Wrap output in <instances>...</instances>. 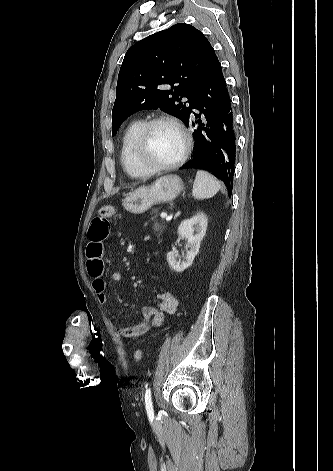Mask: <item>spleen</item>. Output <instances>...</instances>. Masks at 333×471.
<instances>
[{"label":"spleen","mask_w":333,"mask_h":471,"mask_svg":"<svg viewBox=\"0 0 333 471\" xmlns=\"http://www.w3.org/2000/svg\"><path fill=\"white\" fill-rule=\"evenodd\" d=\"M219 181L206 171L199 170L193 184L192 196L195 199H208L220 190Z\"/></svg>","instance_id":"spleen-1"}]
</instances>
